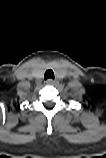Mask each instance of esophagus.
I'll return each instance as SVG.
<instances>
[{"instance_id": "obj_1", "label": "esophagus", "mask_w": 106, "mask_h": 158, "mask_svg": "<svg viewBox=\"0 0 106 158\" xmlns=\"http://www.w3.org/2000/svg\"><path fill=\"white\" fill-rule=\"evenodd\" d=\"M46 83L49 85H53V84L57 83V80L49 78V79H47Z\"/></svg>"}]
</instances>
